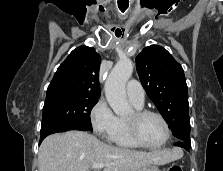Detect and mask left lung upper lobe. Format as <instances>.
I'll list each match as a JSON object with an SVG mask.
<instances>
[{
	"instance_id": "obj_1",
	"label": "left lung upper lobe",
	"mask_w": 223,
	"mask_h": 171,
	"mask_svg": "<svg viewBox=\"0 0 223 171\" xmlns=\"http://www.w3.org/2000/svg\"><path fill=\"white\" fill-rule=\"evenodd\" d=\"M136 68L148 97L166 120L176 140L190 142L187 84L183 69L163 47H145Z\"/></svg>"
}]
</instances>
